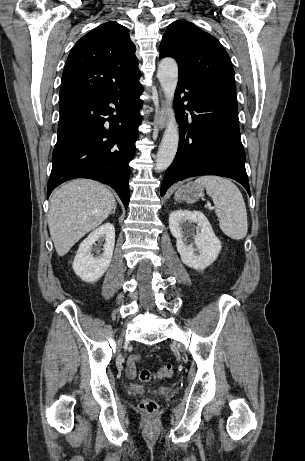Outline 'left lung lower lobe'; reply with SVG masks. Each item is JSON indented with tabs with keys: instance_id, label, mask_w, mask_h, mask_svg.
Returning <instances> with one entry per match:
<instances>
[{
	"instance_id": "1",
	"label": "left lung lower lobe",
	"mask_w": 305,
	"mask_h": 461,
	"mask_svg": "<svg viewBox=\"0 0 305 461\" xmlns=\"http://www.w3.org/2000/svg\"><path fill=\"white\" fill-rule=\"evenodd\" d=\"M184 93L181 98L180 94ZM179 146L167 169L161 196L175 182L200 175L229 177L250 195L239 131L236 85L227 80L179 79L175 93ZM185 110L191 116L185 115Z\"/></svg>"
}]
</instances>
